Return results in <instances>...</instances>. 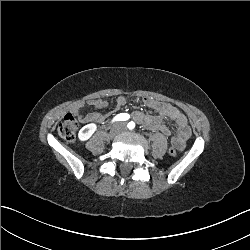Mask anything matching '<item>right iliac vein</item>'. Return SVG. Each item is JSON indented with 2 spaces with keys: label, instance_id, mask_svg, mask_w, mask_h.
Here are the masks:
<instances>
[{
  "label": "right iliac vein",
  "instance_id": "obj_1",
  "mask_svg": "<svg viewBox=\"0 0 250 250\" xmlns=\"http://www.w3.org/2000/svg\"><path fill=\"white\" fill-rule=\"evenodd\" d=\"M118 133L119 130L117 128H113L108 135V141L112 140Z\"/></svg>",
  "mask_w": 250,
  "mask_h": 250
}]
</instances>
